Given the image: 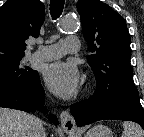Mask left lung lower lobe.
<instances>
[{
  "mask_svg": "<svg viewBox=\"0 0 144 137\" xmlns=\"http://www.w3.org/2000/svg\"><path fill=\"white\" fill-rule=\"evenodd\" d=\"M78 127L105 119L137 122L144 129V110L137 90L111 96L95 92L89 99L71 105Z\"/></svg>",
  "mask_w": 144,
  "mask_h": 137,
  "instance_id": "left-lung-lower-lobe-1",
  "label": "left lung lower lobe"
}]
</instances>
